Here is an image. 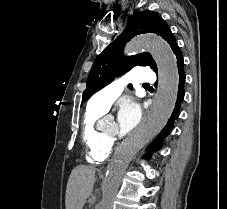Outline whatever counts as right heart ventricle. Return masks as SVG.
I'll return each instance as SVG.
<instances>
[{"label":"right heart ventricle","instance_id":"e07e8e85","mask_svg":"<svg viewBox=\"0 0 227 209\" xmlns=\"http://www.w3.org/2000/svg\"><path fill=\"white\" fill-rule=\"evenodd\" d=\"M106 109L89 106L81 122V138L85 145L86 159L94 165L104 164L111 155L112 145L107 142L97 123L104 115Z\"/></svg>","mask_w":227,"mask_h":209}]
</instances>
